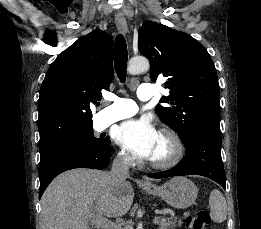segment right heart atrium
Here are the masks:
<instances>
[{"label": "right heart atrium", "mask_w": 261, "mask_h": 229, "mask_svg": "<svg viewBox=\"0 0 261 229\" xmlns=\"http://www.w3.org/2000/svg\"><path fill=\"white\" fill-rule=\"evenodd\" d=\"M117 160L125 167H132L135 165V158L127 148H121L119 150Z\"/></svg>", "instance_id": "1"}]
</instances>
